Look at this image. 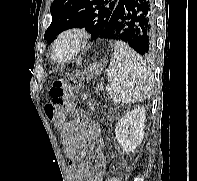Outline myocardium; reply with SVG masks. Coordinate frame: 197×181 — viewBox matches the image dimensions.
Returning <instances> with one entry per match:
<instances>
[{
  "mask_svg": "<svg viewBox=\"0 0 197 181\" xmlns=\"http://www.w3.org/2000/svg\"><path fill=\"white\" fill-rule=\"evenodd\" d=\"M67 37H74L76 39V45L74 50L71 52V54L64 58V59H58L56 57V49L58 44ZM90 33L83 27H69L65 30H63L55 39L53 46H52V52L51 56L52 59L57 63H68L75 59L79 54H81L83 51L87 49L90 43Z\"/></svg>",
  "mask_w": 197,
  "mask_h": 181,
  "instance_id": "obj_1",
  "label": "myocardium"
}]
</instances>
